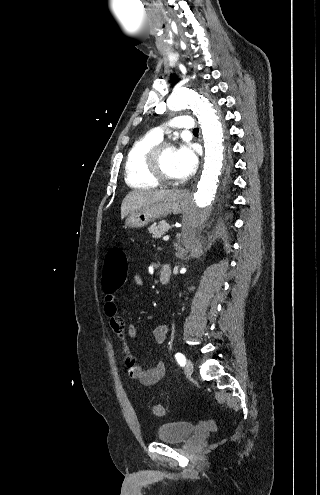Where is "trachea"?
<instances>
[{
    "label": "trachea",
    "instance_id": "trachea-1",
    "mask_svg": "<svg viewBox=\"0 0 320 495\" xmlns=\"http://www.w3.org/2000/svg\"><path fill=\"white\" fill-rule=\"evenodd\" d=\"M198 132H199V129H198V128H195V129L193 130V133H198Z\"/></svg>",
    "mask_w": 320,
    "mask_h": 495
}]
</instances>
